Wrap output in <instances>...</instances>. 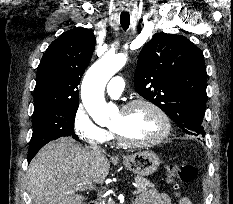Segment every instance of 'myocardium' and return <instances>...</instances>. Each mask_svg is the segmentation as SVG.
Returning <instances> with one entry per match:
<instances>
[{
    "instance_id": "obj_1",
    "label": "myocardium",
    "mask_w": 233,
    "mask_h": 204,
    "mask_svg": "<svg viewBox=\"0 0 233 204\" xmlns=\"http://www.w3.org/2000/svg\"><path fill=\"white\" fill-rule=\"evenodd\" d=\"M137 106H145L151 109L160 118L163 124L162 132L157 137L151 140H148V141H131V140L126 139L124 136H122L118 131L111 128L110 130L112 134L114 135L115 139L118 141V143L123 146H127V147L143 148V147H151V146L157 145L163 142L165 139H167L172 129L171 120L169 116L167 115V113L156 103L148 99H143V98L133 99L131 101H128L127 103L122 105L120 110L122 112H127Z\"/></svg>"
}]
</instances>
